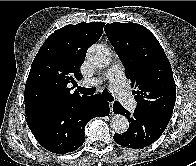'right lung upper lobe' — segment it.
Masks as SVG:
<instances>
[{"instance_id":"cb5924a9","label":"right lung upper lobe","mask_w":196,"mask_h":166,"mask_svg":"<svg viewBox=\"0 0 196 166\" xmlns=\"http://www.w3.org/2000/svg\"><path fill=\"white\" fill-rule=\"evenodd\" d=\"M105 23L69 24L52 33L38 51L25 85V112L32 118L78 100L68 84L80 80L87 49L102 35Z\"/></svg>"}]
</instances>
